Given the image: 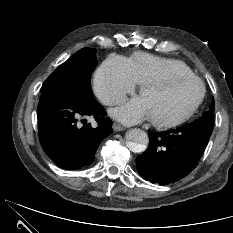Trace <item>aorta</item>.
Wrapping results in <instances>:
<instances>
[{
    "mask_svg": "<svg viewBox=\"0 0 233 233\" xmlns=\"http://www.w3.org/2000/svg\"><path fill=\"white\" fill-rule=\"evenodd\" d=\"M125 138L127 148L134 153L145 151L149 143L146 132L137 128L127 131Z\"/></svg>",
    "mask_w": 233,
    "mask_h": 233,
    "instance_id": "1",
    "label": "aorta"
}]
</instances>
